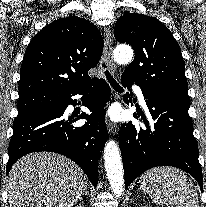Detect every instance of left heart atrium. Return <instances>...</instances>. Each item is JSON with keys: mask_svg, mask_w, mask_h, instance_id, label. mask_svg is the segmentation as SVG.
I'll list each match as a JSON object with an SVG mask.
<instances>
[{"mask_svg": "<svg viewBox=\"0 0 206 207\" xmlns=\"http://www.w3.org/2000/svg\"><path fill=\"white\" fill-rule=\"evenodd\" d=\"M108 117L110 118V120H117L118 119V112L115 110H110L108 112Z\"/></svg>", "mask_w": 206, "mask_h": 207, "instance_id": "1", "label": "left heart atrium"}]
</instances>
